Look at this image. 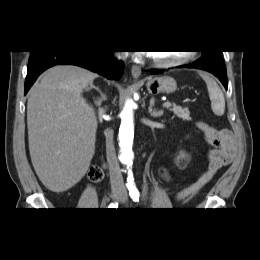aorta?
I'll list each match as a JSON object with an SVG mask.
<instances>
[{
  "label": "aorta",
  "instance_id": "obj_1",
  "mask_svg": "<svg viewBox=\"0 0 260 260\" xmlns=\"http://www.w3.org/2000/svg\"><path fill=\"white\" fill-rule=\"evenodd\" d=\"M133 107L134 102L128 99L121 112V125L119 128V147H120V161L128 168L132 166L134 153L132 151L134 138V123H133ZM128 182H133V175L129 171Z\"/></svg>",
  "mask_w": 260,
  "mask_h": 260
}]
</instances>
